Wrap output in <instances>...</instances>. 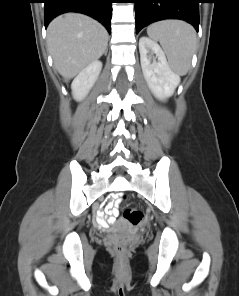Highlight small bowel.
<instances>
[{
  "instance_id": "obj_1",
  "label": "small bowel",
  "mask_w": 239,
  "mask_h": 296,
  "mask_svg": "<svg viewBox=\"0 0 239 296\" xmlns=\"http://www.w3.org/2000/svg\"><path fill=\"white\" fill-rule=\"evenodd\" d=\"M117 215H118L117 203L111 202L105 206L104 212L98 214V217L102 223L110 224L115 220Z\"/></svg>"
}]
</instances>
